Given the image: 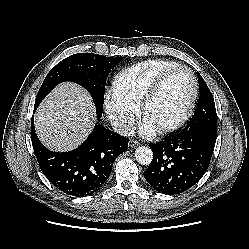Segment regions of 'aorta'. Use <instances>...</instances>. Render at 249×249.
Segmentation results:
<instances>
[{
    "label": "aorta",
    "instance_id": "762f6f07",
    "mask_svg": "<svg viewBox=\"0 0 249 249\" xmlns=\"http://www.w3.org/2000/svg\"><path fill=\"white\" fill-rule=\"evenodd\" d=\"M135 159L141 165H149L153 159V152L147 146H139L135 150Z\"/></svg>",
    "mask_w": 249,
    "mask_h": 249
}]
</instances>
